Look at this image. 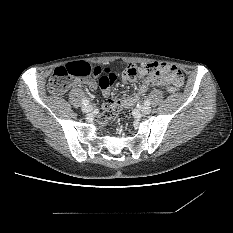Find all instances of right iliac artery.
Instances as JSON below:
<instances>
[{"label":"right iliac artery","instance_id":"obj_1","mask_svg":"<svg viewBox=\"0 0 233 233\" xmlns=\"http://www.w3.org/2000/svg\"><path fill=\"white\" fill-rule=\"evenodd\" d=\"M82 104L86 106V105L89 104V101H88L87 99H84V100L82 101Z\"/></svg>","mask_w":233,"mask_h":233}]
</instances>
